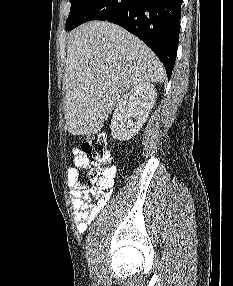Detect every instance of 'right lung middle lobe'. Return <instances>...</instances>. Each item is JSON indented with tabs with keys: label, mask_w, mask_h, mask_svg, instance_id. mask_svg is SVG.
<instances>
[{
	"label": "right lung middle lobe",
	"mask_w": 233,
	"mask_h": 286,
	"mask_svg": "<svg viewBox=\"0 0 233 286\" xmlns=\"http://www.w3.org/2000/svg\"><path fill=\"white\" fill-rule=\"evenodd\" d=\"M71 2V9L68 16V19L66 21V28L68 29L70 26H72L84 8L87 6V4L90 2V0H70Z\"/></svg>",
	"instance_id": "dd1d6c3e"
}]
</instances>
